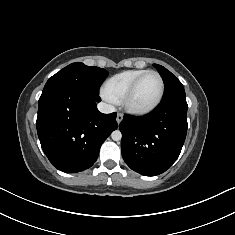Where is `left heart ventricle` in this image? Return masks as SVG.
Masks as SVG:
<instances>
[{
    "label": "left heart ventricle",
    "instance_id": "b2bd125f",
    "mask_svg": "<svg viewBox=\"0 0 235 235\" xmlns=\"http://www.w3.org/2000/svg\"><path fill=\"white\" fill-rule=\"evenodd\" d=\"M160 92V81L155 74L146 75L138 84L130 104L137 108H144L151 105Z\"/></svg>",
    "mask_w": 235,
    "mask_h": 235
}]
</instances>
